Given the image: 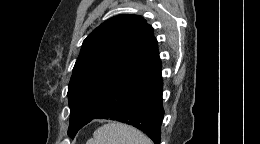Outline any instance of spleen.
Here are the masks:
<instances>
[{
    "instance_id": "1",
    "label": "spleen",
    "mask_w": 260,
    "mask_h": 144,
    "mask_svg": "<svg viewBox=\"0 0 260 144\" xmlns=\"http://www.w3.org/2000/svg\"><path fill=\"white\" fill-rule=\"evenodd\" d=\"M87 144H152V142L132 126L111 122L99 127Z\"/></svg>"
}]
</instances>
